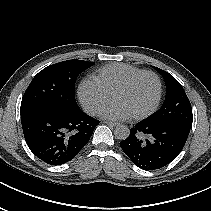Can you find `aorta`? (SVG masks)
I'll return each instance as SVG.
<instances>
[{
    "label": "aorta",
    "mask_w": 211,
    "mask_h": 211,
    "mask_svg": "<svg viewBox=\"0 0 211 211\" xmlns=\"http://www.w3.org/2000/svg\"><path fill=\"white\" fill-rule=\"evenodd\" d=\"M130 130L126 125H117L114 130V135L119 140H125L128 138Z\"/></svg>",
    "instance_id": "762f6f07"
}]
</instances>
